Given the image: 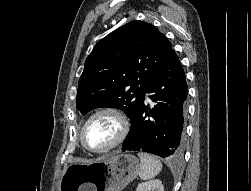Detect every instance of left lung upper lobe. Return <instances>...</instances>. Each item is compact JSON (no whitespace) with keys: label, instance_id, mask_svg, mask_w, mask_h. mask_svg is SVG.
I'll list each match as a JSON object with an SVG mask.
<instances>
[{"label":"left lung upper lobe","instance_id":"obj_1","mask_svg":"<svg viewBox=\"0 0 251 191\" xmlns=\"http://www.w3.org/2000/svg\"><path fill=\"white\" fill-rule=\"evenodd\" d=\"M172 50L166 36L146 22L131 21L108 34L85 61L77 109L86 114L94 108L117 107L132 124L150 82Z\"/></svg>","mask_w":251,"mask_h":191}]
</instances>
